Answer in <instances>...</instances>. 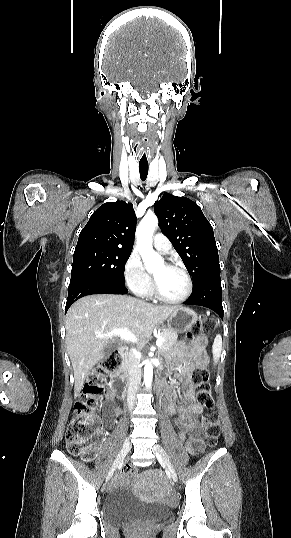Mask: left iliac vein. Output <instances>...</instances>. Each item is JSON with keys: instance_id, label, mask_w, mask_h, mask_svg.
I'll return each mask as SVG.
<instances>
[{"instance_id": "obj_1", "label": "left iliac vein", "mask_w": 291, "mask_h": 538, "mask_svg": "<svg viewBox=\"0 0 291 538\" xmlns=\"http://www.w3.org/2000/svg\"><path fill=\"white\" fill-rule=\"evenodd\" d=\"M154 454L157 456L158 459H160L164 465L166 466V469L172 479L174 481H177V474L176 471L170 461V458L168 457L167 453L165 452L164 448L160 444H155L152 448Z\"/></svg>"}]
</instances>
